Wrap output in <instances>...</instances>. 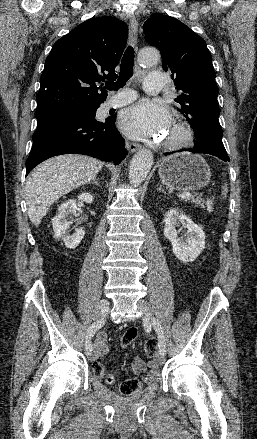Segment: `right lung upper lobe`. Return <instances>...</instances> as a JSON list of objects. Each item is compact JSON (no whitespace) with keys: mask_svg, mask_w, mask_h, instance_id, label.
<instances>
[{"mask_svg":"<svg viewBox=\"0 0 257 439\" xmlns=\"http://www.w3.org/2000/svg\"><path fill=\"white\" fill-rule=\"evenodd\" d=\"M126 24L113 17L92 18L60 38L45 61L37 94L38 119L99 107L107 91L97 85L116 78L127 42Z\"/></svg>","mask_w":257,"mask_h":439,"instance_id":"1","label":"right lung upper lobe"}]
</instances>
